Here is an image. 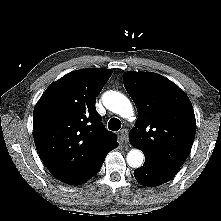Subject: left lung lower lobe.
Returning <instances> with one entry per match:
<instances>
[{
  "label": "left lung lower lobe",
  "mask_w": 221,
  "mask_h": 221,
  "mask_svg": "<svg viewBox=\"0 0 221 221\" xmlns=\"http://www.w3.org/2000/svg\"><path fill=\"white\" fill-rule=\"evenodd\" d=\"M177 171L145 158L143 166L134 170V176L140 184L154 187L168 182Z\"/></svg>",
  "instance_id": "left-lung-lower-lobe-1"
}]
</instances>
